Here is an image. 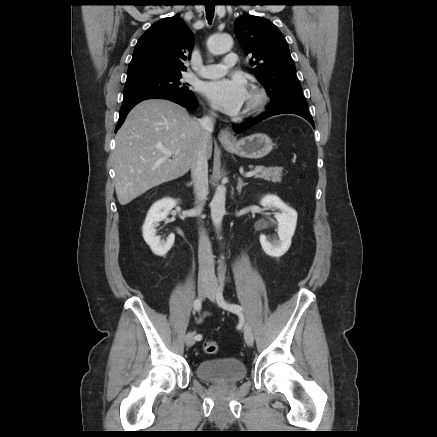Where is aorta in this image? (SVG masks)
I'll use <instances>...</instances> for the list:
<instances>
[{"instance_id": "762f6f07", "label": "aorta", "mask_w": 437, "mask_h": 437, "mask_svg": "<svg viewBox=\"0 0 437 437\" xmlns=\"http://www.w3.org/2000/svg\"><path fill=\"white\" fill-rule=\"evenodd\" d=\"M233 45V39L229 34L213 35L207 41L210 53L220 55L228 52ZM226 188L218 186L210 203L211 219L216 230H220L223 216L225 215ZM224 273V270L221 271Z\"/></svg>"}]
</instances>
